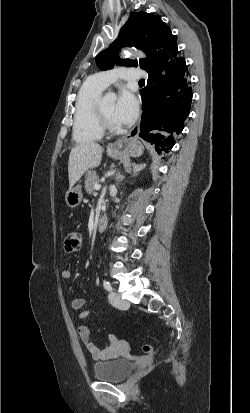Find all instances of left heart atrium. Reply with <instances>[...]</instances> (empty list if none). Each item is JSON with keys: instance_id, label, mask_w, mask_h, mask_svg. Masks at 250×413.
<instances>
[{"instance_id": "1", "label": "left heart atrium", "mask_w": 250, "mask_h": 413, "mask_svg": "<svg viewBox=\"0 0 250 413\" xmlns=\"http://www.w3.org/2000/svg\"><path fill=\"white\" fill-rule=\"evenodd\" d=\"M139 110L136 96L128 89H122L115 103L114 118L119 124H129L133 122Z\"/></svg>"}]
</instances>
